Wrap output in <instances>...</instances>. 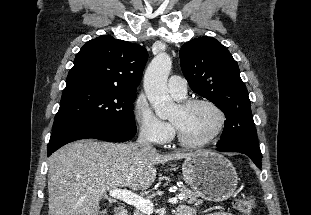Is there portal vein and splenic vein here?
Here are the masks:
<instances>
[{"mask_svg": "<svg viewBox=\"0 0 311 215\" xmlns=\"http://www.w3.org/2000/svg\"><path fill=\"white\" fill-rule=\"evenodd\" d=\"M109 195L114 199L121 200L129 205L134 206L136 209L145 214L150 215L153 213L154 205L150 200L144 199L143 197L136 195L127 189H113L109 192ZM178 199H182V197L170 198L169 202L171 204H178Z\"/></svg>", "mask_w": 311, "mask_h": 215, "instance_id": "1", "label": "portal vein and splenic vein"}]
</instances>
